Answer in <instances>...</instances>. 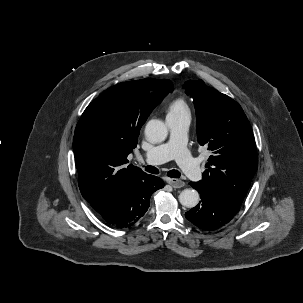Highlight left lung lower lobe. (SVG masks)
I'll list each match as a JSON object with an SVG mask.
<instances>
[{
	"instance_id": "0a47b994",
	"label": "left lung lower lobe",
	"mask_w": 303,
	"mask_h": 303,
	"mask_svg": "<svg viewBox=\"0 0 303 303\" xmlns=\"http://www.w3.org/2000/svg\"><path fill=\"white\" fill-rule=\"evenodd\" d=\"M200 193L199 204L185 213L186 218L202 230H214L228 223L241 204L226 193L199 182L189 183Z\"/></svg>"
}]
</instances>
